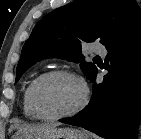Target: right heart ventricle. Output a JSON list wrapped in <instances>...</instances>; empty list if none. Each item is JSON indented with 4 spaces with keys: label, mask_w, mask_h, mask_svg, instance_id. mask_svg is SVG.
<instances>
[{
    "label": "right heart ventricle",
    "mask_w": 141,
    "mask_h": 139,
    "mask_svg": "<svg viewBox=\"0 0 141 139\" xmlns=\"http://www.w3.org/2000/svg\"><path fill=\"white\" fill-rule=\"evenodd\" d=\"M37 77L33 78L28 85L26 86L24 93H23V98H22V106H23V112L24 115L29 118V119H39V117L34 113L32 110L30 103H29V91L32 83Z\"/></svg>",
    "instance_id": "e07e8e85"
}]
</instances>
